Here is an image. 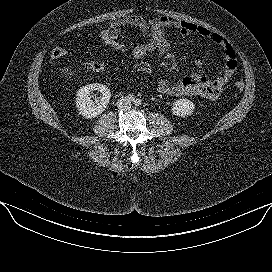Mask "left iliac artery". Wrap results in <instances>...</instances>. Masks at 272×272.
Segmentation results:
<instances>
[{
	"label": "left iliac artery",
	"mask_w": 272,
	"mask_h": 272,
	"mask_svg": "<svg viewBox=\"0 0 272 272\" xmlns=\"http://www.w3.org/2000/svg\"><path fill=\"white\" fill-rule=\"evenodd\" d=\"M141 103H142L141 99H138V98H137L136 100H134V104H135L136 106H140Z\"/></svg>",
	"instance_id": "44dca946"
}]
</instances>
